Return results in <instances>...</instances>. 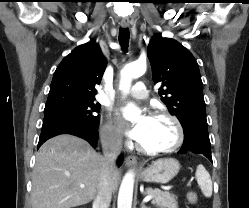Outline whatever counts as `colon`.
Listing matches in <instances>:
<instances>
[{"label": "colon", "mask_w": 249, "mask_h": 208, "mask_svg": "<svg viewBox=\"0 0 249 208\" xmlns=\"http://www.w3.org/2000/svg\"><path fill=\"white\" fill-rule=\"evenodd\" d=\"M187 199L191 204H195L198 200L197 193L193 190L189 191L187 193Z\"/></svg>", "instance_id": "obj_1"}]
</instances>
